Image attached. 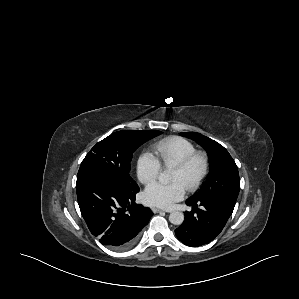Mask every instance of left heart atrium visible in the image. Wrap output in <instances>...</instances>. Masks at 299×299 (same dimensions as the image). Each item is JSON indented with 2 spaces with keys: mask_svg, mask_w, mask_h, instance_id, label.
I'll return each instance as SVG.
<instances>
[{
  "mask_svg": "<svg viewBox=\"0 0 299 299\" xmlns=\"http://www.w3.org/2000/svg\"><path fill=\"white\" fill-rule=\"evenodd\" d=\"M185 190L186 187L179 181L170 184L153 182L146 187L143 200L151 206L171 208L184 197Z\"/></svg>",
  "mask_w": 299,
  "mask_h": 299,
  "instance_id": "1",
  "label": "left heart atrium"
}]
</instances>
